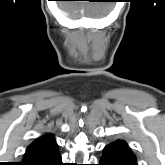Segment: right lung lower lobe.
<instances>
[{"label":"right lung lower lobe","mask_w":165,"mask_h":165,"mask_svg":"<svg viewBox=\"0 0 165 165\" xmlns=\"http://www.w3.org/2000/svg\"><path fill=\"white\" fill-rule=\"evenodd\" d=\"M21 165H63L54 137L48 134L33 142Z\"/></svg>","instance_id":"98d812e1"}]
</instances>
